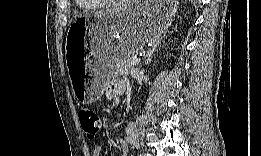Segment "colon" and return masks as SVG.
<instances>
[{"label": "colon", "mask_w": 261, "mask_h": 156, "mask_svg": "<svg viewBox=\"0 0 261 156\" xmlns=\"http://www.w3.org/2000/svg\"><path fill=\"white\" fill-rule=\"evenodd\" d=\"M79 121L85 136L92 140L100 129L99 115L92 109L84 107L78 112Z\"/></svg>", "instance_id": "5ec220e1"}]
</instances>
